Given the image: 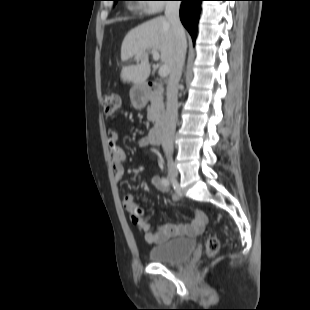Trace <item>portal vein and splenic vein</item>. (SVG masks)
<instances>
[{
  "mask_svg": "<svg viewBox=\"0 0 310 310\" xmlns=\"http://www.w3.org/2000/svg\"><path fill=\"white\" fill-rule=\"evenodd\" d=\"M151 53H152V55H153V59H154L155 61H158V60H159V57H160L159 52H158L157 50L153 49V50L151 51ZM139 56H140V54L137 55V57H139ZM168 74H169V68H168L166 65H162V66L159 68V76L164 78V77H167Z\"/></svg>",
  "mask_w": 310,
  "mask_h": 310,
  "instance_id": "obj_1",
  "label": "portal vein and splenic vein"
}]
</instances>
